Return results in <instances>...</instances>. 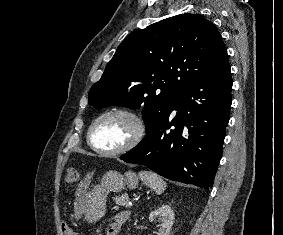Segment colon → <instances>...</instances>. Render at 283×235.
<instances>
[{
    "mask_svg": "<svg viewBox=\"0 0 283 235\" xmlns=\"http://www.w3.org/2000/svg\"><path fill=\"white\" fill-rule=\"evenodd\" d=\"M79 178V172L76 168H68L65 173V181L68 184L74 183ZM64 235H71V231L69 228L64 229Z\"/></svg>",
    "mask_w": 283,
    "mask_h": 235,
    "instance_id": "colon-1",
    "label": "colon"
}]
</instances>
